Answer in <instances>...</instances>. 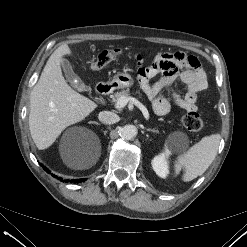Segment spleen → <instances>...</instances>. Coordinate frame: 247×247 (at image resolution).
<instances>
[{
  "label": "spleen",
  "mask_w": 247,
  "mask_h": 247,
  "mask_svg": "<svg viewBox=\"0 0 247 247\" xmlns=\"http://www.w3.org/2000/svg\"><path fill=\"white\" fill-rule=\"evenodd\" d=\"M220 139V134L205 136L186 152L178 155L174 164L175 173L178 174L182 168L185 169L183 175L185 182L201 176L215 159Z\"/></svg>",
  "instance_id": "3e777b00"
}]
</instances>
